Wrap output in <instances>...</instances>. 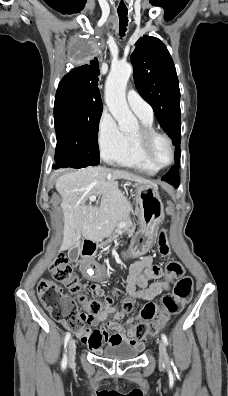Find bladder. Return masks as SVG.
<instances>
[{
    "instance_id": "31cf9c89",
    "label": "bladder",
    "mask_w": 228,
    "mask_h": 396,
    "mask_svg": "<svg viewBox=\"0 0 228 396\" xmlns=\"http://www.w3.org/2000/svg\"><path fill=\"white\" fill-rule=\"evenodd\" d=\"M140 349L130 343L120 342L107 345L98 354L111 360H132L138 357Z\"/></svg>"
}]
</instances>
